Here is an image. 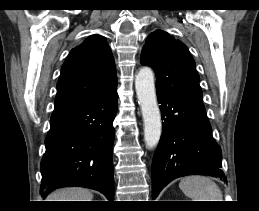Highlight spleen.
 Here are the masks:
<instances>
[{
	"label": "spleen",
	"instance_id": "spleen-1",
	"mask_svg": "<svg viewBox=\"0 0 259 211\" xmlns=\"http://www.w3.org/2000/svg\"><path fill=\"white\" fill-rule=\"evenodd\" d=\"M179 187L192 201H223L219 186L206 176H187L180 181Z\"/></svg>",
	"mask_w": 259,
	"mask_h": 211
}]
</instances>
